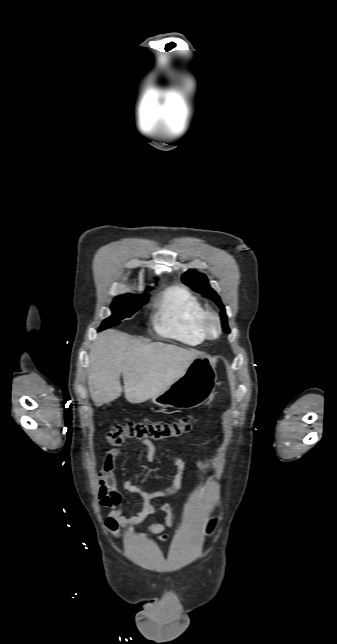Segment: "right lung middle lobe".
Here are the masks:
<instances>
[{
	"label": "right lung middle lobe",
	"instance_id": "1",
	"mask_svg": "<svg viewBox=\"0 0 337 644\" xmlns=\"http://www.w3.org/2000/svg\"><path fill=\"white\" fill-rule=\"evenodd\" d=\"M150 289H147L146 291H149ZM146 302V295H126L115 298L111 305L113 314L102 322L99 330H104L109 327L118 325L120 323V320L132 316Z\"/></svg>",
	"mask_w": 337,
	"mask_h": 644
}]
</instances>
